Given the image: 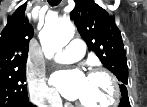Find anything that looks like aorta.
<instances>
[{
  "instance_id": "762f6f07",
  "label": "aorta",
  "mask_w": 147,
  "mask_h": 107,
  "mask_svg": "<svg viewBox=\"0 0 147 107\" xmlns=\"http://www.w3.org/2000/svg\"><path fill=\"white\" fill-rule=\"evenodd\" d=\"M74 25L67 21H47L39 34L44 55L50 59L55 51L64 47L74 36Z\"/></svg>"
}]
</instances>
